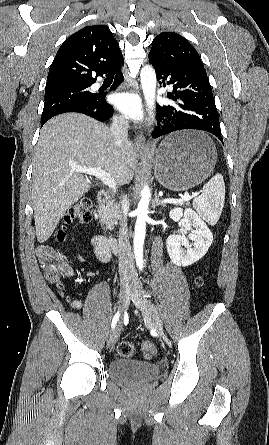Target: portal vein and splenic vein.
<instances>
[{
  "label": "portal vein and splenic vein",
  "mask_w": 269,
  "mask_h": 445,
  "mask_svg": "<svg viewBox=\"0 0 269 445\" xmlns=\"http://www.w3.org/2000/svg\"><path fill=\"white\" fill-rule=\"evenodd\" d=\"M77 172L85 173L91 176H95L99 180H101L105 185H107L109 188L116 191V183L111 178V176L103 169L100 168H91V167H74L73 168ZM197 196V193H194L190 195L188 192L184 193V196L181 199H165L163 200L166 203H174V204H180L186 201H189L190 199Z\"/></svg>",
  "instance_id": "1"
}]
</instances>
